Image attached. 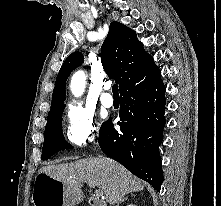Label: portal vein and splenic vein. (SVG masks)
<instances>
[{
	"label": "portal vein and splenic vein",
	"instance_id": "1",
	"mask_svg": "<svg viewBox=\"0 0 221 206\" xmlns=\"http://www.w3.org/2000/svg\"><path fill=\"white\" fill-rule=\"evenodd\" d=\"M95 196H96V197L104 198L103 192H102L101 190H95Z\"/></svg>",
	"mask_w": 221,
	"mask_h": 206
}]
</instances>
